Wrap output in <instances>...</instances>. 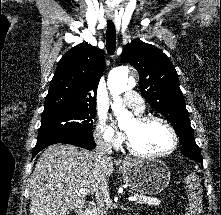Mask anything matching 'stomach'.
<instances>
[{
  "instance_id": "obj_1",
  "label": "stomach",
  "mask_w": 221,
  "mask_h": 215,
  "mask_svg": "<svg viewBox=\"0 0 221 215\" xmlns=\"http://www.w3.org/2000/svg\"><path fill=\"white\" fill-rule=\"evenodd\" d=\"M122 174L130 189L143 195L162 192L171 176L167 165L157 159L126 160L123 162Z\"/></svg>"
}]
</instances>
